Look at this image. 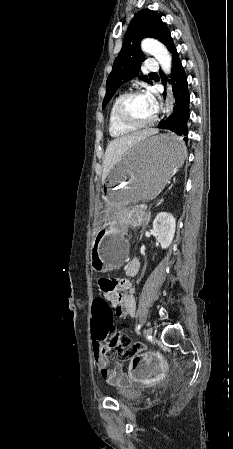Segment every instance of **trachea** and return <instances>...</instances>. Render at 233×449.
I'll use <instances>...</instances> for the list:
<instances>
[{
  "label": "trachea",
  "mask_w": 233,
  "mask_h": 449,
  "mask_svg": "<svg viewBox=\"0 0 233 449\" xmlns=\"http://www.w3.org/2000/svg\"><path fill=\"white\" fill-rule=\"evenodd\" d=\"M150 75H156V73H151Z\"/></svg>",
  "instance_id": "3493384b"
}]
</instances>
